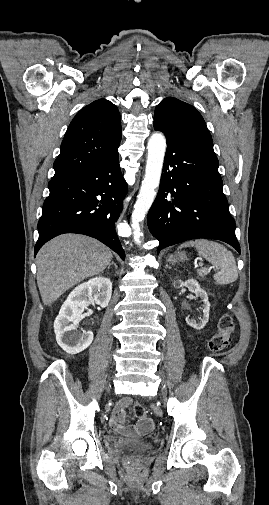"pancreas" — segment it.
I'll list each match as a JSON object with an SVG mask.
<instances>
[{
  "instance_id": "obj_1",
  "label": "pancreas",
  "mask_w": 269,
  "mask_h": 505,
  "mask_svg": "<svg viewBox=\"0 0 269 505\" xmlns=\"http://www.w3.org/2000/svg\"><path fill=\"white\" fill-rule=\"evenodd\" d=\"M198 273V276L203 278L204 276H206L208 274V270L207 269H200L197 271Z\"/></svg>"
}]
</instances>
